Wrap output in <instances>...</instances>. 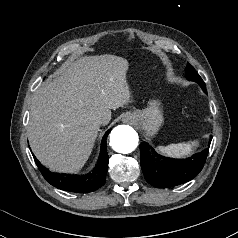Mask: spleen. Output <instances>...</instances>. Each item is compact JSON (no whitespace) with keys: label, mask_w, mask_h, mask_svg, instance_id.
I'll return each instance as SVG.
<instances>
[{"label":"spleen","mask_w":238,"mask_h":238,"mask_svg":"<svg viewBox=\"0 0 238 238\" xmlns=\"http://www.w3.org/2000/svg\"><path fill=\"white\" fill-rule=\"evenodd\" d=\"M197 146L196 141L189 143L169 144L167 146H158V151L170 157H184L192 153L193 148Z\"/></svg>","instance_id":"3e777b00"}]
</instances>
